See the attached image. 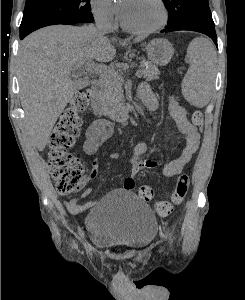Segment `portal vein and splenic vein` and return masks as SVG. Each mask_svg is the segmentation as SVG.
I'll list each match as a JSON object with an SVG mask.
<instances>
[{
	"label": "portal vein and splenic vein",
	"instance_id": "portal-vein-and-splenic-vein-1",
	"mask_svg": "<svg viewBox=\"0 0 245 300\" xmlns=\"http://www.w3.org/2000/svg\"><path fill=\"white\" fill-rule=\"evenodd\" d=\"M84 68L89 73H96V74H100V75H105V74L109 73L110 71H112V69H110V68H107L103 65H97L93 62L86 63ZM135 75L137 77H141V71L137 70Z\"/></svg>",
	"mask_w": 245,
	"mask_h": 300
}]
</instances>
